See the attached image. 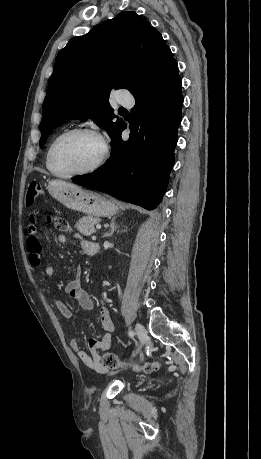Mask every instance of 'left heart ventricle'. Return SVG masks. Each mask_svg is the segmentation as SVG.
Segmentation results:
<instances>
[{
	"mask_svg": "<svg viewBox=\"0 0 261 459\" xmlns=\"http://www.w3.org/2000/svg\"><path fill=\"white\" fill-rule=\"evenodd\" d=\"M100 142L86 134H75L63 138L56 145L52 166L60 173H70L85 169L100 156Z\"/></svg>",
	"mask_w": 261,
	"mask_h": 459,
	"instance_id": "1",
	"label": "left heart ventricle"
}]
</instances>
